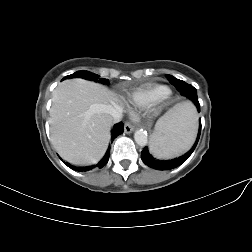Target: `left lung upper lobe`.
Segmentation results:
<instances>
[{
	"label": "left lung upper lobe",
	"instance_id": "left-lung-upper-lobe-1",
	"mask_svg": "<svg viewBox=\"0 0 252 252\" xmlns=\"http://www.w3.org/2000/svg\"><path fill=\"white\" fill-rule=\"evenodd\" d=\"M167 78H168L169 82H170L171 84H173V85H174V83L180 81L179 79H177V78H175V77H173V76H171V75H167Z\"/></svg>",
	"mask_w": 252,
	"mask_h": 252
}]
</instances>
